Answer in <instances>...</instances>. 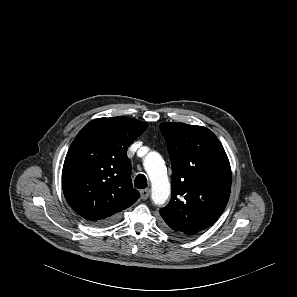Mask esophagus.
<instances>
[{
	"label": "esophagus",
	"mask_w": 297,
	"mask_h": 297,
	"mask_svg": "<svg viewBox=\"0 0 297 297\" xmlns=\"http://www.w3.org/2000/svg\"><path fill=\"white\" fill-rule=\"evenodd\" d=\"M141 198L146 200L150 195V189H143L140 191Z\"/></svg>",
	"instance_id": "1"
}]
</instances>
